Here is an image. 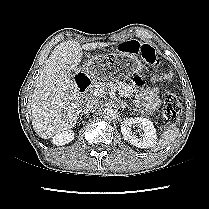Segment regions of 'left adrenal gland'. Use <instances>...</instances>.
<instances>
[{"label": "left adrenal gland", "instance_id": "1", "mask_svg": "<svg viewBox=\"0 0 209 209\" xmlns=\"http://www.w3.org/2000/svg\"><path fill=\"white\" fill-rule=\"evenodd\" d=\"M120 105H121V108H123V109L127 106V104L124 103L123 101L120 102ZM128 108H130V107H128Z\"/></svg>", "mask_w": 209, "mask_h": 209}]
</instances>
